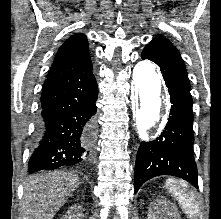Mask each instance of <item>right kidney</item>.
<instances>
[{"instance_id":"ca27d5eb","label":"right kidney","mask_w":221,"mask_h":219,"mask_svg":"<svg viewBox=\"0 0 221 219\" xmlns=\"http://www.w3.org/2000/svg\"><path fill=\"white\" fill-rule=\"evenodd\" d=\"M83 217L82 206L78 204L71 206L61 219H83Z\"/></svg>"}]
</instances>
